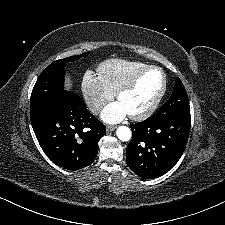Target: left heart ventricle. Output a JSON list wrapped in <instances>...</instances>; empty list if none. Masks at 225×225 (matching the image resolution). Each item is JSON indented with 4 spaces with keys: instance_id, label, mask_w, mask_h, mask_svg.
Instances as JSON below:
<instances>
[{
    "instance_id": "1",
    "label": "left heart ventricle",
    "mask_w": 225,
    "mask_h": 225,
    "mask_svg": "<svg viewBox=\"0 0 225 225\" xmlns=\"http://www.w3.org/2000/svg\"><path fill=\"white\" fill-rule=\"evenodd\" d=\"M162 75L156 70H149L130 92L124 94L118 101L129 115L142 113L154 101L161 90Z\"/></svg>"
}]
</instances>
